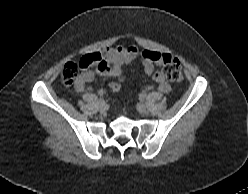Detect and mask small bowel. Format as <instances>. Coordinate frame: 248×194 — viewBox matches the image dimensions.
<instances>
[{
	"instance_id": "small-bowel-1",
	"label": "small bowel",
	"mask_w": 248,
	"mask_h": 194,
	"mask_svg": "<svg viewBox=\"0 0 248 194\" xmlns=\"http://www.w3.org/2000/svg\"><path fill=\"white\" fill-rule=\"evenodd\" d=\"M157 52L151 50L139 51L135 46H119L115 48H106L101 52L93 53L96 58V68L84 71L75 84L78 92L89 90L87 84L92 82L96 76L118 77L123 73L124 66L134 60H139L147 74L152 75L156 82V88L159 92L168 93L171 90L162 72L156 70L153 56ZM152 86H146L151 89Z\"/></svg>"
}]
</instances>
